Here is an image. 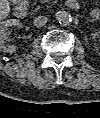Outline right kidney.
<instances>
[{
	"label": "right kidney",
	"instance_id": "1",
	"mask_svg": "<svg viewBox=\"0 0 100 118\" xmlns=\"http://www.w3.org/2000/svg\"><path fill=\"white\" fill-rule=\"evenodd\" d=\"M12 26H20V21L17 19H7L0 22V50L6 53H14L17 50L15 45H8V28Z\"/></svg>",
	"mask_w": 100,
	"mask_h": 118
}]
</instances>
